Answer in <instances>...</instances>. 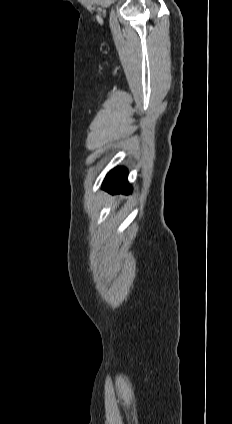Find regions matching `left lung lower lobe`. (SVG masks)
<instances>
[{"mask_svg": "<svg viewBox=\"0 0 232 424\" xmlns=\"http://www.w3.org/2000/svg\"><path fill=\"white\" fill-rule=\"evenodd\" d=\"M102 188L112 194L131 193V185L127 181V171L125 168H115L110 171L104 179Z\"/></svg>", "mask_w": 232, "mask_h": 424, "instance_id": "left-lung-lower-lobe-1", "label": "left lung lower lobe"}]
</instances>
